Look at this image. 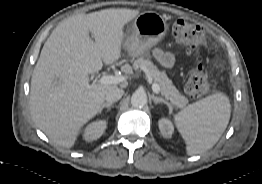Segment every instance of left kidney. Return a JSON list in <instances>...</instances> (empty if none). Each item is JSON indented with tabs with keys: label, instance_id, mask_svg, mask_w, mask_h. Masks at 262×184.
I'll return each instance as SVG.
<instances>
[{
	"label": "left kidney",
	"instance_id": "1",
	"mask_svg": "<svg viewBox=\"0 0 262 184\" xmlns=\"http://www.w3.org/2000/svg\"><path fill=\"white\" fill-rule=\"evenodd\" d=\"M158 124L161 134L165 138H171L174 131L172 122L169 119L163 118L159 120Z\"/></svg>",
	"mask_w": 262,
	"mask_h": 184
}]
</instances>
